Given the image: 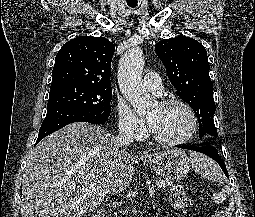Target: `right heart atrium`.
Wrapping results in <instances>:
<instances>
[{
    "label": "right heart atrium",
    "mask_w": 255,
    "mask_h": 217,
    "mask_svg": "<svg viewBox=\"0 0 255 217\" xmlns=\"http://www.w3.org/2000/svg\"><path fill=\"white\" fill-rule=\"evenodd\" d=\"M117 124L119 132L129 138H140L146 133L144 122L135 114L134 110L124 101L116 106Z\"/></svg>",
    "instance_id": "obj_1"
}]
</instances>
